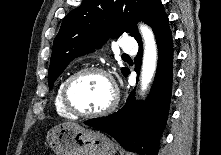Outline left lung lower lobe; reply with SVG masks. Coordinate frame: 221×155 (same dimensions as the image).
<instances>
[{"label":"left lung lower lobe","mask_w":221,"mask_h":155,"mask_svg":"<svg viewBox=\"0 0 221 155\" xmlns=\"http://www.w3.org/2000/svg\"><path fill=\"white\" fill-rule=\"evenodd\" d=\"M147 24L152 27L158 45V67L151 94L147 103L135 101V90L119 111L103 118L85 121L114 137L126 150L139 155H157L158 142L162 133L170 105L173 71V44L169 21L163 5H158L151 13ZM139 51L135 58V70L140 69L142 40L137 39ZM129 74V71L125 76Z\"/></svg>","instance_id":"left-lung-lower-lobe-1"}]
</instances>
